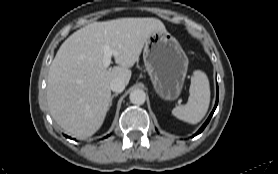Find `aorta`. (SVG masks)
Instances as JSON below:
<instances>
[{
    "instance_id": "obj_1",
    "label": "aorta",
    "mask_w": 278,
    "mask_h": 174,
    "mask_svg": "<svg viewBox=\"0 0 278 174\" xmlns=\"http://www.w3.org/2000/svg\"><path fill=\"white\" fill-rule=\"evenodd\" d=\"M129 98L131 103L136 105H142L146 100V94L142 89H134L130 93Z\"/></svg>"
}]
</instances>
